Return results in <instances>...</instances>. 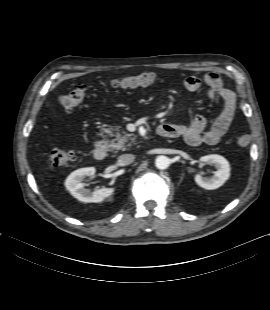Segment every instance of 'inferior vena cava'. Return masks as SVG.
I'll return each mask as SVG.
<instances>
[{"label": "inferior vena cava", "mask_w": 270, "mask_h": 310, "mask_svg": "<svg viewBox=\"0 0 270 310\" xmlns=\"http://www.w3.org/2000/svg\"><path fill=\"white\" fill-rule=\"evenodd\" d=\"M135 159L133 154H123L118 158V163L122 166L131 164Z\"/></svg>", "instance_id": "1"}]
</instances>
